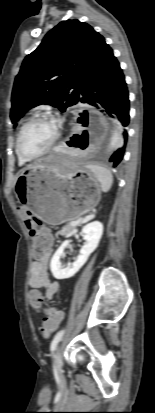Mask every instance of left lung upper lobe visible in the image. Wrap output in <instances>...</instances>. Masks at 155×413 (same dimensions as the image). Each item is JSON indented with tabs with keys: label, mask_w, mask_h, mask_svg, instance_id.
Here are the masks:
<instances>
[{
	"label": "left lung upper lobe",
	"mask_w": 155,
	"mask_h": 413,
	"mask_svg": "<svg viewBox=\"0 0 155 413\" xmlns=\"http://www.w3.org/2000/svg\"><path fill=\"white\" fill-rule=\"evenodd\" d=\"M108 45L89 24L60 22L24 59L12 92L13 124L30 109L50 104L61 111L80 100L84 81Z\"/></svg>",
	"instance_id": "1"
}]
</instances>
